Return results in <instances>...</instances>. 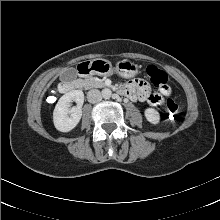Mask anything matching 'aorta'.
Here are the masks:
<instances>
[{
    "instance_id": "aorta-1",
    "label": "aorta",
    "mask_w": 220,
    "mask_h": 220,
    "mask_svg": "<svg viewBox=\"0 0 220 220\" xmlns=\"http://www.w3.org/2000/svg\"><path fill=\"white\" fill-rule=\"evenodd\" d=\"M111 95H112V91L110 89L105 88L102 90V97L104 99H109L111 97Z\"/></svg>"
}]
</instances>
